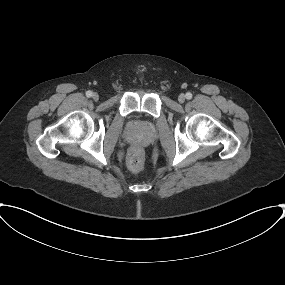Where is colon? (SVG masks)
I'll return each mask as SVG.
<instances>
[{
	"label": "colon",
	"mask_w": 285,
	"mask_h": 285,
	"mask_svg": "<svg viewBox=\"0 0 285 285\" xmlns=\"http://www.w3.org/2000/svg\"><path fill=\"white\" fill-rule=\"evenodd\" d=\"M128 167L134 172H140L144 169V159L139 149H132L128 156Z\"/></svg>",
	"instance_id": "colon-1"
}]
</instances>
